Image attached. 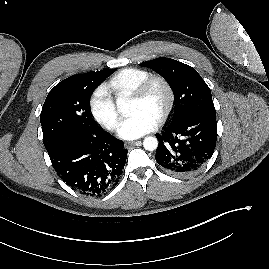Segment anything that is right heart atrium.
I'll list each match as a JSON object with an SVG mask.
<instances>
[{"instance_id":"obj_1","label":"right heart atrium","mask_w":269,"mask_h":269,"mask_svg":"<svg viewBox=\"0 0 269 269\" xmlns=\"http://www.w3.org/2000/svg\"><path fill=\"white\" fill-rule=\"evenodd\" d=\"M89 108L92 116L103 127L110 131L117 130L119 113L105 85H99L93 90L89 98Z\"/></svg>"}]
</instances>
